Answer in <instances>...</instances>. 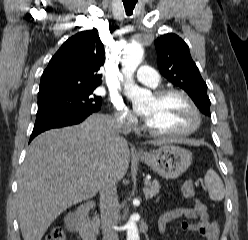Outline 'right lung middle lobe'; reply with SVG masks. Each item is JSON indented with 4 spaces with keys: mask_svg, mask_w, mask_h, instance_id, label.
<instances>
[{
    "mask_svg": "<svg viewBox=\"0 0 248 240\" xmlns=\"http://www.w3.org/2000/svg\"><path fill=\"white\" fill-rule=\"evenodd\" d=\"M94 88L38 96V110L59 108L70 111H94L101 107V97L93 94Z\"/></svg>",
    "mask_w": 248,
    "mask_h": 240,
    "instance_id": "obj_1",
    "label": "right lung middle lobe"
}]
</instances>
